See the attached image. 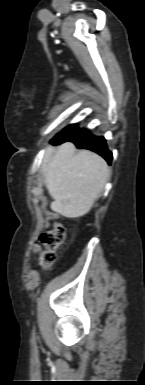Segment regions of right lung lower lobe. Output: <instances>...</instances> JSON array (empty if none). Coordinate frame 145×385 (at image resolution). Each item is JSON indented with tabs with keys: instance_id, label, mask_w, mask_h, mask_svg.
I'll return each mask as SVG.
<instances>
[{
	"instance_id": "98d812e1",
	"label": "right lung lower lobe",
	"mask_w": 145,
	"mask_h": 385,
	"mask_svg": "<svg viewBox=\"0 0 145 385\" xmlns=\"http://www.w3.org/2000/svg\"><path fill=\"white\" fill-rule=\"evenodd\" d=\"M73 142L77 148L89 149L101 155L108 164L112 161V152L107 149L104 137L94 136L87 129H79L77 125L59 133L54 139V144Z\"/></svg>"
}]
</instances>
